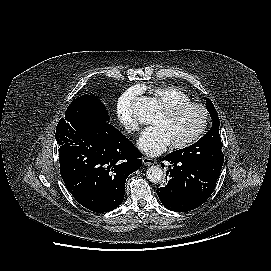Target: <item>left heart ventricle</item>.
I'll list each match as a JSON object with an SVG mask.
<instances>
[{"label": "left heart ventricle", "mask_w": 271, "mask_h": 271, "mask_svg": "<svg viewBox=\"0 0 271 271\" xmlns=\"http://www.w3.org/2000/svg\"><path fill=\"white\" fill-rule=\"evenodd\" d=\"M202 113L195 108L186 109L173 117H167L160 112L153 120L165 131L170 144L179 143L190 138L202 124Z\"/></svg>", "instance_id": "b2bd125f"}]
</instances>
